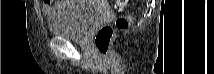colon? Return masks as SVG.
<instances>
[{
  "instance_id": "1",
  "label": "colon",
  "mask_w": 214,
  "mask_h": 74,
  "mask_svg": "<svg viewBox=\"0 0 214 74\" xmlns=\"http://www.w3.org/2000/svg\"><path fill=\"white\" fill-rule=\"evenodd\" d=\"M127 0H118L114 3V9L121 11L127 4ZM132 21L130 15L119 16L115 19L114 25L101 26L94 35V44L102 55H107L115 30H126Z\"/></svg>"
}]
</instances>
